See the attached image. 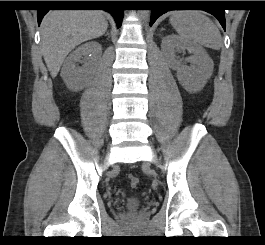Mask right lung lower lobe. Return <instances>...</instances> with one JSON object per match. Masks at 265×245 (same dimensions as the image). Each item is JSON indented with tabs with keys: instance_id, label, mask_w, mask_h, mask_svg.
<instances>
[{
	"instance_id": "98d812e1",
	"label": "right lung lower lobe",
	"mask_w": 265,
	"mask_h": 245,
	"mask_svg": "<svg viewBox=\"0 0 265 245\" xmlns=\"http://www.w3.org/2000/svg\"><path fill=\"white\" fill-rule=\"evenodd\" d=\"M95 3H80L79 6L87 7H103V10L109 12L114 17L118 27L121 26L123 18V10L120 8L119 1H94ZM58 6H67V5H58ZM47 9H40L37 13L38 25H40L42 18L48 12Z\"/></svg>"
}]
</instances>
